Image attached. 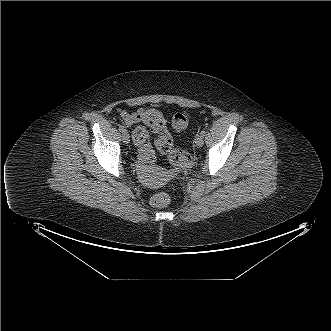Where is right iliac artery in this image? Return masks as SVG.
<instances>
[{
	"label": "right iliac artery",
	"mask_w": 331,
	"mask_h": 331,
	"mask_svg": "<svg viewBox=\"0 0 331 331\" xmlns=\"http://www.w3.org/2000/svg\"><path fill=\"white\" fill-rule=\"evenodd\" d=\"M118 129H119L120 132H124L125 131L124 127L121 126V125H119Z\"/></svg>",
	"instance_id": "right-iliac-artery-1"
}]
</instances>
